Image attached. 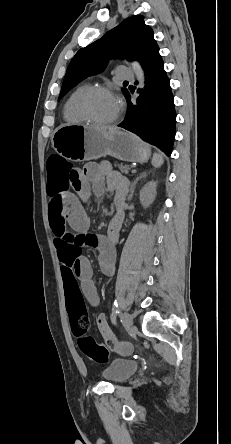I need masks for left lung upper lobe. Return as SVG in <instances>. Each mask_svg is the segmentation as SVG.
<instances>
[{
	"label": "left lung upper lobe",
	"mask_w": 231,
	"mask_h": 444,
	"mask_svg": "<svg viewBox=\"0 0 231 444\" xmlns=\"http://www.w3.org/2000/svg\"><path fill=\"white\" fill-rule=\"evenodd\" d=\"M157 50L153 30L145 24L144 17L127 18L99 40L78 50L68 66L59 99L86 77L102 72L110 59L134 57L143 66Z\"/></svg>",
	"instance_id": "left-lung-upper-lobe-1"
}]
</instances>
